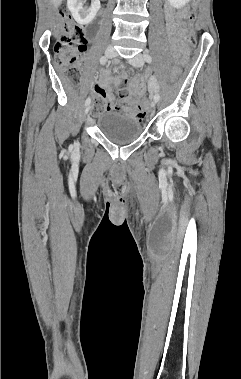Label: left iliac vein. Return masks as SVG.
<instances>
[{
	"mask_svg": "<svg viewBox=\"0 0 241 379\" xmlns=\"http://www.w3.org/2000/svg\"><path fill=\"white\" fill-rule=\"evenodd\" d=\"M129 63L135 67H142L144 64V57L142 54H137L133 58L129 59ZM156 100L153 98L151 102V107L154 108L156 104Z\"/></svg>",
	"mask_w": 241,
	"mask_h": 379,
	"instance_id": "4c4485c4",
	"label": "left iliac vein"
}]
</instances>
